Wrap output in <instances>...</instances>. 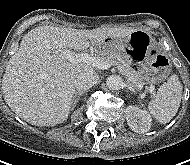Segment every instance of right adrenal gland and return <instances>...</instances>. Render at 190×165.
Returning <instances> with one entry per match:
<instances>
[{
  "label": "right adrenal gland",
  "instance_id": "obj_1",
  "mask_svg": "<svg viewBox=\"0 0 190 165\" xmlns=\"http://www.w3.org/2000/svg\"><path fill=\"white\" fill-rule=\"evenodd\" d=\"M85 92L84 91H76L73 95L72 101H71V110H74L77 102H78V97L82 96Z\"/></svg>",
  "mask_w": 190,
  "mask_h": 165
}]
</instances>
